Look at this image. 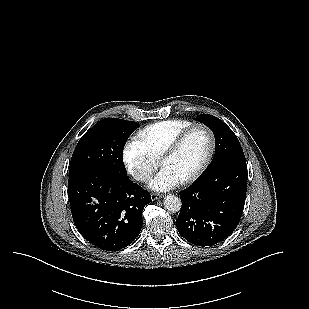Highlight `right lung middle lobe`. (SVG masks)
<instances>
[{
	"label": "right lung middle lobe",
	"instance_id": "1",
	"mask_svg": "<svg viewBox=\"0 0 309 309\" xmlns=\"http://www.w3.org/2000/svg\"><path fill=\"white\" fill-rule=\"evenodd\" d=\"M138 127L134 121L105 118L79 140L71 158L69 178L95 171L119 180L129 179L123 163V148Z\"/></svg>",
	"mask_w": 309,
	"mask_h": 309
}]
</instances>
